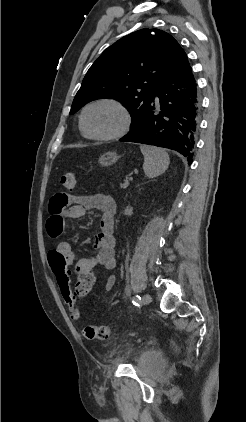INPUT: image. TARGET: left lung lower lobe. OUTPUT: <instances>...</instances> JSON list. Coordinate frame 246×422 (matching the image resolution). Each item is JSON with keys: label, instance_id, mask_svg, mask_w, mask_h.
<instances>
[{"label": "left lung lower lobe", "instance_id": "0a47b994", "mask_svg": "<svg viewBox=\"0 0 246 422\" xmlns=\"http://www.w3.org/2000/svg\"><path fill=\"white\" fill-rule=\"evenodd\" d=\"M200 95L184 50L153 93L139 124L120 141L175 150L192 163L199 127Z\"/></svg>", "mask_w": 246, "mask_h": 422}]
</instances>
